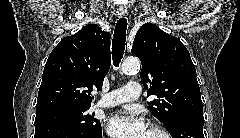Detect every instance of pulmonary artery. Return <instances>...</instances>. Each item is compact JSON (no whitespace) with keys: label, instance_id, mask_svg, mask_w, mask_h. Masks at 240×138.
<instances>
[{"label":"pulmonary artery","instance_id":"1","mask_svg":"<svg viewBox=\"0 0 240 138\" xmlns=\"http://www.w3.org/2000/svg\"><path fill=\"white\" fill-rule=\"evenodd\" d=\"M141 88L137 81H130L124 87L104 94L98 106L114 107L124 103H130L139 98Z\"/></svg>","mask_w":240,"mask_h":138}]
</instances>
